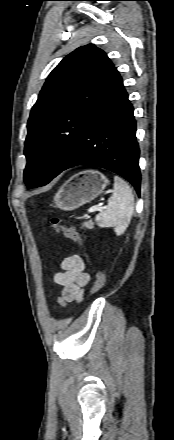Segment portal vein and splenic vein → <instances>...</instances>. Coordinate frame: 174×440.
I'll list each match as a JSON object with an SVG mask.
<instances>
[{
	"mask_svg": "<svg viewBox=\"0 0 174 440\" xmlns=\"http://www.w3.org/2000/svg\"><path fill=\"white\" fill-rule=\"evenodd\" d=\"M102 210H103V207H101L100 205H95V206L91 207L88 210V212L93 213V212L102 211ZM87 217H89V216H87Z\"/></svg>",
	"mask_w": 174,
	"mask_h": 440,
	"instance_id": "portal-vein-and-splenic-vein-1",
	"label": "portal vein and splenic vein"
}]
</instances>
